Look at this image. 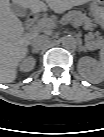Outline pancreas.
I'll return each instance as SVG.
<instances>
[{
	"label": "pancreas",
	"mask_w": 104,
	"mask_h": 137,
	"mask_svg": "<svg viewBox=\"0 0 104 137\" xmlns=\"http://www.w3.org/2000/svg\"><path fill=\"white\" fill-rule=\"evenodd\" d=\"M61 21L64 23L71 22L74 25L84 24L86 28H91L93 26L90 18H88L85 14H82L81 12H77V11L68 12L67 14L63 16ZM91 37L88 36L87 39ZM88 46L91 48H98L100 46V43L98 41H91V42H88Z\"/></svg>",
	"instance_id": "cf45deb5"
}]
</instances>
